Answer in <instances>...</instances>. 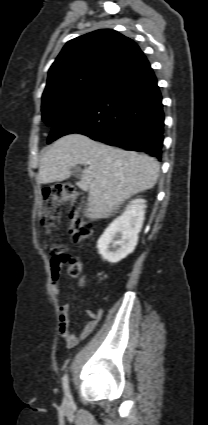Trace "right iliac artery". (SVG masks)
Instances as JSON below:
<instances>
[{
	"instance_id": "82829eb1",
	"label": "right iliac artery",
	"mask_w": 208,
	"mask_h": 425,
	"mask_svg": "<svg viewBox=\"0 0 208 425\" xmlns=\"http://www.w3.org/2000/svg\"><path fill=\"white\" fill-rule=\"evenodd\" d=\"M62 384H63V389L65 392V395L67 397H70V392H69V385H68V375L65 374L62 378Z\"/></svg>"
}]
</instances>
